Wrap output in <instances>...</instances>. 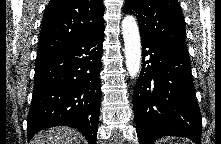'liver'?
<instances>
[{
  "label": "liver",
  "instance_id": "6515ba94",
  "mask_svg": "<svg viewBox=\"0 0 221 144\" xmlns=\"http://www.w3.org/2000/svg\"><path fill=\"white\" fill-rule=\"evenodd\" d=\"M79 132L69 127H55L36 134L31 144H80Z\"/></svg>",
  "mask_w": 221,
  "mask_h": 144
}]
</instances>
